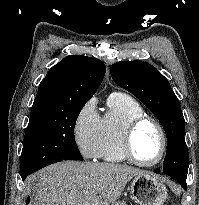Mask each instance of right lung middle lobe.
<instances>
[{"label":"right lung middle lobe","mask_w":199,"mask_h":205,"mask_svg":"<svg viewBox=\"0 0 199 205\" xmlns=\"http://www.w3.org/2000/svg\"><path fill=\"white\" fill-rule=\"evenodd\" d=\"M86 102L63 103L30 113L21 154V175L52 161L83 160L75 142L74 127Z\"/></svg>","instance_id":"obj_1"}]
</instances>
